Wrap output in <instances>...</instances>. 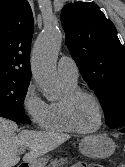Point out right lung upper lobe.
Segmentation results:
<instances>
[{
	"label": "right lung upper lobe",
	"mask_w": 125,
	"mask_h": 167,
	"mask_svg": "<svg viewBox=\"0 0 125 167\" xmlns=\"http://www.w3.org/2000/svg\"><path fill=\"white\" fill-rule=\"evenodd\" d=\"M33 14L27 0L0 1V80L29 83Z\"/></svg>",
	"instance_id": "1"
}]
</instances>
